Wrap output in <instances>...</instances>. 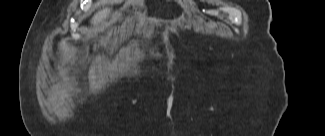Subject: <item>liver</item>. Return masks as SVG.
<instances>
[{
  "instance_id": "liver-1",
  "label": "liver",
  "mask_w": 325,
  "mask_h": 136,
  "mask_svg": "<svg viewBox=\"0 0 325 136\" xmlns=\"http://www.w3.org/2000/svg\"><path fill=\"white\" fill-rule=\"evenodd\" d=\"M111 12V9L104 8L102 10H99L91 19V24L93 25H104L106 18L109 16Z\"/></svg>"
}]
</instances>
